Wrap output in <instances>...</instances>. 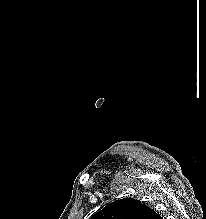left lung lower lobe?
Masks as SVG:
<instances>
[{
	"label": "left lung lower lobe",
	"mask_w": 206,
	"mask_h": 219,
	"mask_svg": "<svg viewBox=\"0 0 206 219\" xmlns=\"http://www.w3.org/2000/svg\"><path fill=\"white\" fill-rule=\"evenodd\" d=\"M151 219H163L160 215L154 212L153 216Z\"/></svg>",
	"instance_id": "1"
}]
</instances>
